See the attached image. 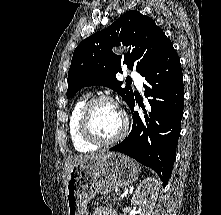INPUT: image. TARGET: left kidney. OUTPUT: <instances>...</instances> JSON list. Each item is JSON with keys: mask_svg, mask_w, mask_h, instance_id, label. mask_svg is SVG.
I'll return each instance as SVG.
<instances>
[{"mask_svg": "<svg viewBox=\"0 0 221 215\" xmlns=\"http://www.w3.org/2000/svg\"><path fill=\"white\" fill-rule=\"evenodd\" d=\"M159 189L160 183L154 177H147L139 184L131 202L134 206L141 208V215H151L157 201Z\"/></svg>", "mask_w": 221, "mask_h": 215, "instance_id": "1", "label": "left kidney"}]
</instances>
